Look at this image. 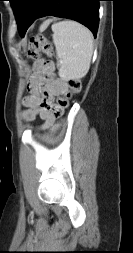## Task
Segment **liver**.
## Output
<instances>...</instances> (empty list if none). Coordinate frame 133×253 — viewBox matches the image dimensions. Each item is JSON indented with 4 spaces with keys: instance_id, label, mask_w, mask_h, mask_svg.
Instances as JSON below:
<instances>
[{
    "instance_id": "6515ba94",
    "label": "liver",
    "mask_w": 133,
    "mask_h": 253,
    "mask_svg": "<svg viewBox=\"0 0 133 253\" xmlns=\"http://www.w3.org/2000/svg\"><path fill=\"white\" fill-rule=\"evenodd\" d=\"M50 22L51 20H46L45 22H43V24L40 26V31L45 30Z\"/></svg>"
}]
</instances>
